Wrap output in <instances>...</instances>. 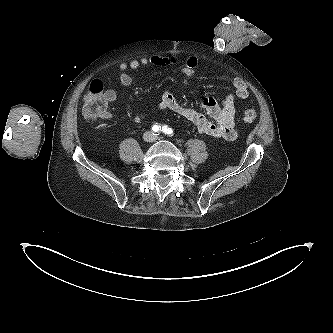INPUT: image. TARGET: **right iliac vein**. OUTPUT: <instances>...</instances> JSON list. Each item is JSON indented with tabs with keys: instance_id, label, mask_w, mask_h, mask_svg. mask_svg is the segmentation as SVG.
<instances>
[{
	"instance_id": "63e3f726",
	"label": "right iliac vein",
	"mask_w": 333,
	"mask_h": 333,
	"mask_svg": "<svg viewBox=\"0 0 333 333\" xmlns=\"http://www.w3.org/2000/svg\"><path fill=\"white\" fill-rule=\"evenodd\" d=\"M150 138V134L145 135V140H148Z\"/></svg>"
}]
</instances>
